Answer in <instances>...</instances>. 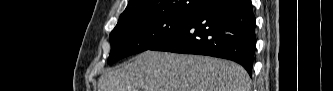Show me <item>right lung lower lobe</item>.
<instances>
[{"label":"right lung lower lobe","mask_w":333,"mask_h":91,"mask_svg":"<svg viewBox=\"0 0 333 91\" xmlns=\"http://www.w3.org/2000/svg\"><path fill=\"white\" fill-rule=\"evenodd\" d=\"M250 0H214L184 27L150 50L233 60L252 75L256 46Z\"/></svg>","instance_id":"98d812e1"}]
</instances>
